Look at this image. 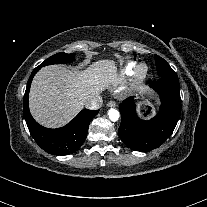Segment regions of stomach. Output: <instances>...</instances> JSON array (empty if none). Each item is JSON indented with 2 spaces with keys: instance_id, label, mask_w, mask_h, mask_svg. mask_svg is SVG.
<instances>
[{
  "instance_id": "0dacf381",
  "label": "stomach",
  "mask_w": 207,
  "mask_h": 207,
  "mask_svg": "<svg viewBox=\"0 0 207 207\" xmlns=\"http://www.w3.org/2000/svg\"><path fill=\"white\" fill-rule=\"evenodd\" d=\"M140 109L144 110V111H148V109H151L152 112L154 111L153 110V105L150 102L149 98H147V99L144 98V101L140 103Z\"/></svg>"
}]
</instances>
